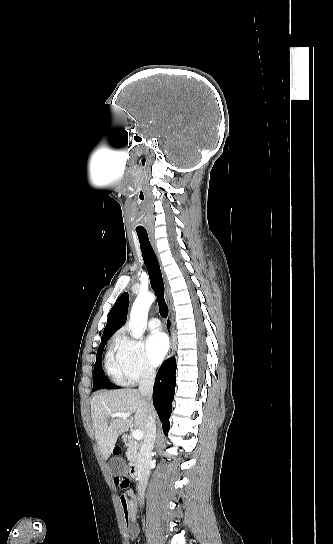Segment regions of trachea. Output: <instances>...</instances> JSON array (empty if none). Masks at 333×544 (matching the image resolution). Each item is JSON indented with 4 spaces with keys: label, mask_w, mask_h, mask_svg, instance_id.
Listing matches in <instances>:
<instances>
[{
    "label": "trachea",
    "mask_w": 333,
    "mask_h": 544,
    "mask_svg": "<svg viewBox=\"0 0 333 544\" xmlns=\"http://www.w3.org/2000/svg\"><path fill=\"white\" fill-rule=\"evenodd\" d=\"M143 260L145 262L150 284L157 296L160 315L166 318L168 315V306L164 299V283L156 254L150 244L147 233L137 232Z\"/></svg>",
    "instance_id": "obj_1"
}]
</instances>
